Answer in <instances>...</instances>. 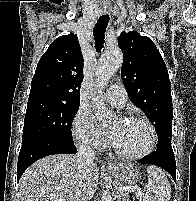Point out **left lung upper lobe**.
<instances>
[{
    "label": "left lung upper lobe",
    "mask_w": 196,
    "mask_h": 201,
    "mask_svg": "<svg viewBox=\"0 0 196 201\" xmlns=\"http://www.w3.org/2000/svg\"><path fill=\"white\" fill-rule=\"evenodd\" d=\"M118 46L124 56L121 76L130 100L154 124L158 140L172 137V97L168 70L149 37L123 31Z\"/></svg>",
    "instance_id": "left-lung-upper-lobe-1"
}]
</instances>
